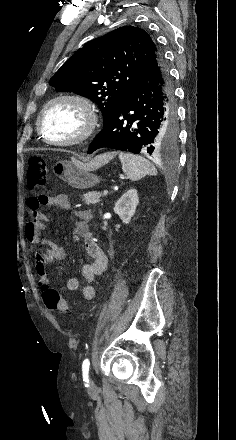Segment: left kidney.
Here are the masks:
<instances>
[{
    "mask_svg": "<svg viewBox=\"0 0 236 440\" xmlns=\"http://www.w3.org/2000/svg\"><path fill=\"white\" fill-rule=\"evenodd\" d=\"M139 203V197L136 189H129L115 203L114 212L120 217L124 224H128L135 214Z\"/></svg>",
    "mask_w": 236,
    "mask_h": 440,
    "instance_id": "obj_1",
    "label": "left kidney"
}]
</instances>
